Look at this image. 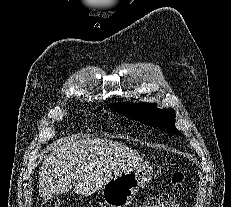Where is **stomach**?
<instances>
[{"instance_id": "1", "label": "stomach", "mask_w": 231, "mask_h": 207, "mask_svg": "<svg viewBox=\"0 0 231 207\" xmlns=\"http://www.w3.org/2000/svg\"><path fill=\"white\" fill-rule=\"evenodd\" d=\"M152 176L148 163L118 172L102 186V198L107 207H127Z\"/></svg>"}]
</instances>
